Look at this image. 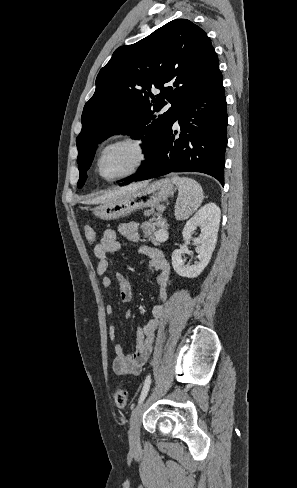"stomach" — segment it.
<instances>
[{
    "label": "stomach",
    "mask_w": 297,
    "mask_h": 488,
    "mask_svg": "<svg viewBox=\"0 0 297 488\" xmlns=\"http://www.w3.org/2000/svg\"><path fill=\"white\" fill-rule=\"evenodd\" d=\"M173 191L174 184L170 179H160L135 191L126 192L115 200L102 203L92 211L102 220L124 218L136 210L157 206L166 201Z\"/></svg>",
    "instance_id": "stomach-1"
}]
</instances>
